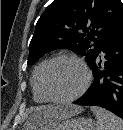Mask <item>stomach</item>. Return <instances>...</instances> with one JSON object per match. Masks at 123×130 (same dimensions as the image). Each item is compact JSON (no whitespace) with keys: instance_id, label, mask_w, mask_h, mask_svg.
<instances>
[{"instance_id":"stomach-1","label":"stomach","mask_w":123,"mask_h":130,"mask_svg":"<svg viewBox=\"0 0 123 130\" xmlns=\"http://www.w3.org/2000/svg\"><path fill=\"white\" fill-rule=\"evenodd\" d=\"M95 123L89 118H71L62 120L48 130H94ZM24 130H32L26 128Z\"/></svg>"}]
</instances>
